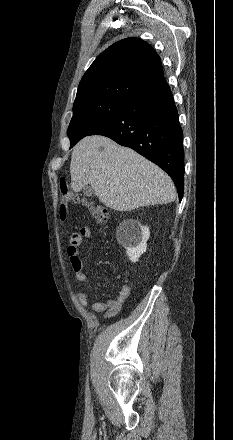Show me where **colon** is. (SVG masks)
<instances>
[{"mask_svg":"<svg viewBox=\"0 0 233 440\" xmlns=\"http://www.w3.org/2000/svg\"><path fill=\"white\" fill-rule=\"evenodd\" d=\"M59 192L61 197L60 205V217L65 220L68 213V208L66 201L71 199L77 204H80L85 209L88 210L90 215L100 224H106L109 220L108 211L99 205L88 202L87 200L79 197L78 195L72 193L69 189V180L66 177H62L59 180Z\"/></svg>","mask_w":233,"mask_h":440,"instance_id":"colon-1","label":"colon"}]
</instances>
